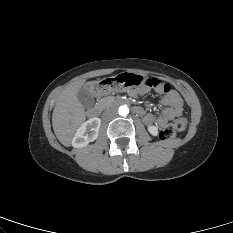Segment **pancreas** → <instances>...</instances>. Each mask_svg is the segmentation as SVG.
I'll list each match as a JSON object with an SVG mask.
<instances>
[{"label":"pancreas","instance_id":"cf45deb5","mask_svg":"<svg viewBox=\"0 0 233 233\" xmlns=\"http://www.w3.org/2000/svg\"><path fill=\"white\" fill-rule=\"evenodd\" d=\"M111 100H112V98L106 97V98L101 99V100L99 101V104H104V105H105V104L110 103Z\"/></svg>","mask_w":233,"mask_h":233}]
</instances>
